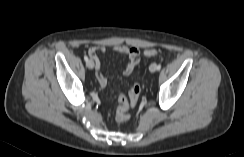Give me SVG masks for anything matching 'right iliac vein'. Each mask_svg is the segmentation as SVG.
I'll return each mask as SVG.
<instances>
[{
  "label": "right iliac vein",
  "mask_w": 244,
  "mask_h": 157,
  "mask_svg": "<svg viewBox=\"0 0 244 157\" xmlns=\"http://www.w3.org/2000/svg\"><path fill=\"white\" fill-rule=\"evenodd\" d=\"M87 67H88L89 69H93V68H94V63H93L92 60H88V61H87Z\"/></svg>",
  "instance_id": "1"
}]
</instances>
